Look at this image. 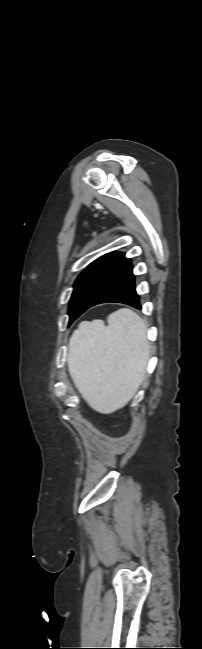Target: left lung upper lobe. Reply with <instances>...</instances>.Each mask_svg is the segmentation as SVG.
<instances>
[{
    "mask_svg": "<svg viewBox=\"0 0 202 649\" xmlns=\"http://www.w3.org/2000/svg\"><path fill=\"white\" fill-rule=\"evenodd\" d=\"M126 260L124 253L112 252L95 260L78 276L69 302V324L86 310L87 304L99 294Z\"/></svg>",
    "mask_w": 202,
    "mask_h": 649,
    "instance_id": "1",
    "label": "left lung upper lobe"
}]
</instances>
